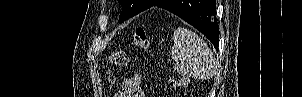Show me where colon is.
I'll return each instance as SVG.
<instances>
[{"instance_id": "1", "label": "colon", "mask_w": 302, "mask_h": 97, "mask_svg": "<svg viewBox=\"0 0 302 97\" xmlns=\"http://www.w3.org/2000/svg\"><path fill=\"white\" fill-rule=\"evenodd\" d=\"M132 42L135 47L140 49H146L148 47L149 45L148 36L146 30L143 27L135 28ZM127 59H128L127 54L124 51H114L108 55L107 63L110 66L121 67L127 63ZM108 81L110 84H113L115 82V78L111 73H109ZM185 83H186L185 80L172 81L171 86L175 88Z\"/></svg>"}]
</instances>
